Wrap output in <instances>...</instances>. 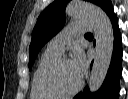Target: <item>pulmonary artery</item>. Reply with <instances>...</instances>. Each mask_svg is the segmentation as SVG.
<instances>
[{
  "instance_id": "pulmonary-artery-1",
  "label": "pulmonary artery",
  "mask_w": 128,
  "mask_h": 99,
  "mask_svg": "<svg viewBox=\"0 0 128 99\" xmlns=\"http://www.w3.org/2000/svg\"><path fill=\"white\" fill-rule=\"evenodd\" d=\"M89 30H91V24L86 21L71 24L49 41L47 49L61 55L64 51L65 44L72 38L73 35Z\"/></svg>"
}]
</instances>
